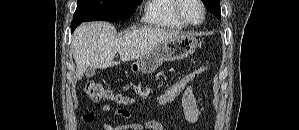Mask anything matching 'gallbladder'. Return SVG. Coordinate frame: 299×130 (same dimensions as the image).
<instances>
[{"mask_svg": "<svg viewBox=\"0 0 299 130\" xmlns=\"http://www.w3.org/2000/svg\"><path fill=\"white\" fill-rule=\"evenodd\" d=\"M95 74V68L93 67H88L85 71V75L87 77H92Z\"/></svg>", "mask_w": 299, "mask_h": 130, "instance_id": "1", "label": "gallbladder"}]
</instances>
